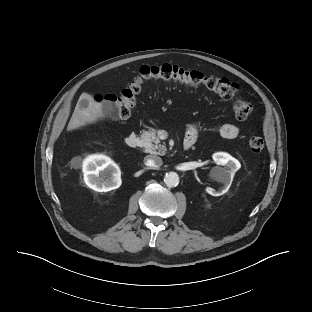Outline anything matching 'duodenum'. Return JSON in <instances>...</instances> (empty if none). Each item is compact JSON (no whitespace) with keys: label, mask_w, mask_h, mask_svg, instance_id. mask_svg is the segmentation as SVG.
<instances>
[{"label":"duodenum","mask_w":312,"mask_h":312,"mask_svg":"<svg viewBox=\"0 0 312 312\" xmlns=\"http://www.w3.org/2000/svg\"><path fill=\"white\" fill-rule=\"evenodd\" d=\"M125 144L129 148H136L140 144V138L136 134H130L125 139ZM191 147V144L189 142L183 143V150L186 151Z\"/></svg>","instance_id":"duodenum-1"}]
</instances>
